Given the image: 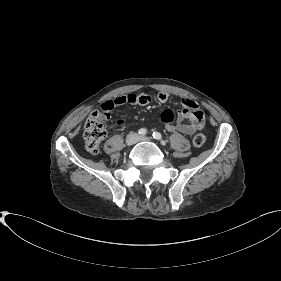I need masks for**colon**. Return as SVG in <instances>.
I'll use <instances>...</instances> for the list:
<instances>
[{
    "instance_id": "obj_1",
    "label": "colon",
    "mask_w": 281,
    "mask_h": 281,
    "mask_svg": "<svg viewBox=\"0 0 281 281\" xmlns=\"http://www.w3.org/2000/svg\"><path fill=\"white\" fill-rule=\"evenodd\" d=\"M110 114L108 112L95 110L86 120L84 126V140L87 151L91 154H97L100 149L101 141L107 135V128L111 125ZM205 143V136L201 133L193 137V144L201 147Z\"/></svg>"
}]
</instances>
